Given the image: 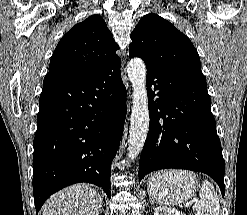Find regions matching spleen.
<instances>
[{"instance_id":"1","label":"spleen","mask_w":247,"mask_h":215,"mask_svg":"<svg viewBox=\"0 0 247 215\" xmlns=\"http://www.w3.org/2000/svg\"><path fill=\"white\" fill-rule=\"evenodd\" d=\"M199 188V198L193 206L195 215H219V196L214 186L206 181Z\"/></svg>"}]
</instances>
